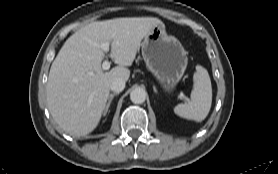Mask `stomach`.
<instances>
[{
    "mask_svg": "<svg viewBox=\"0 0 278 174\" xmlns=\"http://www.w3.org/2000/svg\"><path fill=\"white\" fill-rule=\"evenodd\" d=\"M147 68L167 90H173L188 64L187 53L180 41L169 35L164 24L154 26L141 44Z\"/></svg>",
    "mask_w": 278,
    "mask_h": 174,
    "instance_id": "1",
    "label": "stomach"
}]
</instances>
